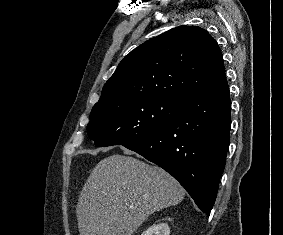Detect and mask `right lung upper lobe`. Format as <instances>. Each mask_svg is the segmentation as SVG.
<instances>
[{
	"label": "right lung upper lobe",
	"mask_w": 283,
	"mask_h": 235,
	"mask_svg": "<svg viewBox=\"0 0 283 235\" xmlns=\"http://www.w3.org/2000/svg\"><path fill=\"white\" fill-rule=\"evenodd\" d=\"M225 82L217 42L200 27L179 26L126 55L94 106L130 97H170L181 101Z\"/></svg>",
	"instance_id": "1"
}]
</instances>
